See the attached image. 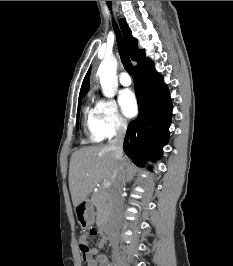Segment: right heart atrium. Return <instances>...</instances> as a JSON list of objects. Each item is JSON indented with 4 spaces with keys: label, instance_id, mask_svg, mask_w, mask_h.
Returning <instances> with one entry per match:
<instances>
[{
    "label": "right heart atrium",
    "instance_id": "1",
    "mask_svg": "<svg viewBox=\"0 0 233 266\" xmlns=\"http://www.w3.org/2000/svg\"><path fill=\"white\" fill-rule=\"evenodd\" d=\"M97 110L96 130L103 138H112L127 130L128 122L114 100L99 101Z\"/></svg>",
    "mask_w": 233,
    "mask_h": 266
}]
</instances>
